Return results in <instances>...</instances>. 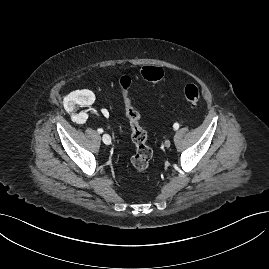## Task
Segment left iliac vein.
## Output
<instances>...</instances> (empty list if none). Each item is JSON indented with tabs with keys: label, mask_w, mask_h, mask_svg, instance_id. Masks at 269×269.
Returning <instances> with one entry per match:
<instances>
[{
	"label": "left iliac vein",
	"mask_w": 269,
	"mask_h": 269,
	"mask_svg": "<svg viewBox=\"0 0 269 269\" xmlns=\"http://www.w3.org/2000/svg\"><path fill=\"white\" fill-rule=\"evenodd\" d=\"M170 145H171V142H170L169 140H166V141L164 142V146H165L166 148H169Z\"/></svg>",
	"instance_id": "obj_1"
}]
</instances>
